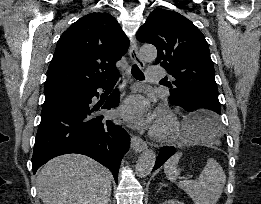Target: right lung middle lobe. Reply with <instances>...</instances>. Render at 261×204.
I'll return each mask as SVG.
<instances>
[{"label":"right lung middle lobe","mask_w":261,"mask_h":204,"mask_svg":"<svg viewBox=\"0 0 261 204\" xmlns=\"http://www.w3.org/2000/svg\"><path fill=\"white\" fill-rule=\"evenodd\" d=\"M57 94H52V95H46L45 98H49V97H52V96H55Z\"/></svg>","instance_id":"dd1d6c3e"}]
</instances>
